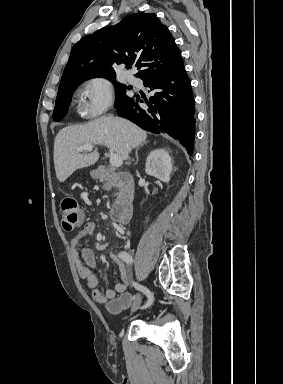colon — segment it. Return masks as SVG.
<instances>
[{
  "label": "colon",
  "instance_id": "5ec220e1",
  "mask_svg": "<svg viewBox=\"0 0 283 384\" xmlns=\"http://www.w3.org/2000/svg\"><path fill=\"white\" fill-rule=\"evenodd\" d=\"M60 213L62 226L66 231H72L83 222V214L75 199L72 197L64 198L60 203ZM133 296L128 293H122L119 297L112 300L107 309L110 313H119L132 304Z\"/></svg>",
  "mask_w": 283,
  "mask_h": 384
}]
</instances>
